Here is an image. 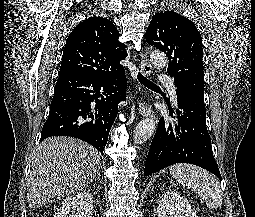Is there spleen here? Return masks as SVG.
Listing matches in <instances>:
<instances>
[{
	"label": "spleen",
	"mask_w": 255,
	"mask_h": 217,
	"mask_svg": "<svg viewBox=\"0 0 255 217\" xmlns=\"http://www.w3.org/2000/svg\"><path fill=\"white\" fill-rule=\"evenodd\" d=\"M169 171L175 180L198 194L209 209L221 206L219 182L209 172L191 164H175Z\"/></svg>",
	"instance_id": "3e777b00"
}]
</instances>
